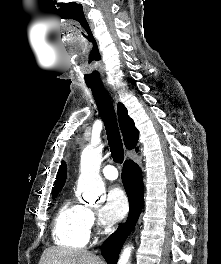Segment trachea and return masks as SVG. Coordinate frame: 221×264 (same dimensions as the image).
I'll use <instances>...</instances> for the list:
<instances>
[{"mask_svg":"<svg viewBox=\"0 0 221 264\" xmlns=\"http://www.w3.org/2000/svg\"><path fill=\"white\" fill-rule=\"evenodd\" d=\"M99 108L106 129L111 156L116 163L124 160L123 144L117 124L116 114L108 92L103 85H88Z\"/></svg>","mask_w":221,"mask_h":264,"instance_id":"trachea-1","label":"trachea"}]
</instances>
